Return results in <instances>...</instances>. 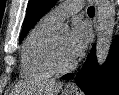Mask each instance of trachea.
<instances>
[{
	"label": "trachea",
	"instance_id": "1",
	"mask_svg": "<svg viewBox=\"0 0 119 95\" xmlns=\"http://www.w3.org/2000/svg\"><path fill=\"white\" fill-rule=\"evenodd\" d=\"M87 13H88V15H94V13H95L94 7H93V6H90V7L88 8V10H87Z\"/></svg>",
	"mask_w": 119,
	"mask_h": 95
}]
</instances>
